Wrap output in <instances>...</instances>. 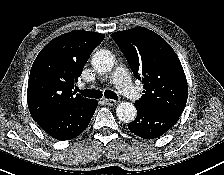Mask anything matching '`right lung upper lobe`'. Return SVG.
Returning a JSON list of instances; mask_svg holds the SVG:
<instances>
[{
  "label": "right lung upper lobe",
  "mask_w": 224,
  "mask_h": 175,
  "mask_svg": "<svg viewBox=\"0 0 224 175\" xmlns=\"http://www.w3.org/2000/svg\"><path fill=\"white\" fill-rule=\"evenodd\" d=\"M104 38V34L72 31L41 50L32 65L27 89L28 108L35 121L93 100L72 89L90 54Z\"/></svg>",
  "instance_id": "right-lung-upper-lobe-1"
}]
</instances>
